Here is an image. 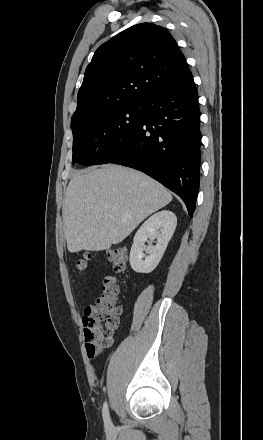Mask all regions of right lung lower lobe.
Wrapping results in <instances>:
<instances>
[{
    "instance_id": "right-lung-lower-lobe-1",
    "label": "right lung lower lobe",
    "mask_w": 263,
    "mask_h": 440,
    "mask_svg": "<svg viewBox=\"0 0 263 440\" xmlns=\"http://www.w3.org/2000/svg\"><path fill=\"white\" fill-rule=\"evenodd\" d=\"M140 124L112 150L107 163L128 166L149 175L184 201L194 212L200 181V112L191 72L144 102Z\"/></svg>"
}]
</instances>
